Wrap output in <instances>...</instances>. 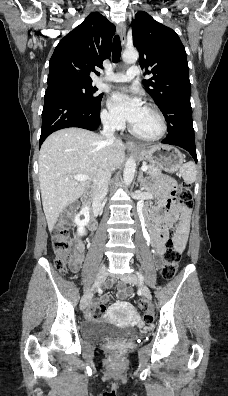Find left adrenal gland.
<instances>
[{
    "label": "left adrenal gland",
    "instance_id": "1",
    "mask_svg": "<svg viewBox=\"0 0 228 396\" xmlns=\"http://www.w3.org/2000/svg\"><path fill=\"white\" fill-rule=\"evenodd\" d=\"M137 181L139 182L140 187H142V186L144 185L145 179H144V176H143V172H142V171L139 172Z\"/></svg>",
    "mask_w": 228,
    "mask_h": 396
}]
</instances>
